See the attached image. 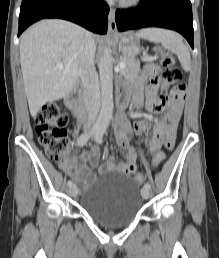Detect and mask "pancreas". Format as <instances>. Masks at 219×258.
<instances>
[{
  "mask_svg": "<svg viewBox=\"0 0 219 258\" xmlns=\"http://www.w3.org/2000/svg\"><path fill=\"white\" fill-rule=\"evenodd\" d=\"M155 57H148L147 59H143V61H154ZM121 62L125 63V68L122 70V75L126 79H135L138 77L140 73V61L135 58L123 57L121 58Z\"/></svg>",
  "mask_w": 219,
  "mask_h": 258,
  "instance_id": "pancreas-1",
  "label": "pancreas"
}]
</instances>
